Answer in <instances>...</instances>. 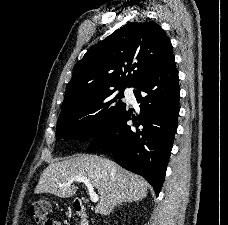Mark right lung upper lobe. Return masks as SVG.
Masks as SVG:
<instances>
[{
    "label": "right lung upper lobe",
    "mask_w": 228,
    "mask_h": 225,
    "mask_svg": "<svg viewBox=\"0 0 228 225\" xmlns=\"http://www.w3.org/2000/svg\"><path fill=\"white\" fill-rule=\"evenodd\" d=\"M172 56L171 42L159 24L128 22L77 62L62 106L112 88L135 87Z\"/></svg>",
    "instance_id": "obj_1"
}]
</instances>
